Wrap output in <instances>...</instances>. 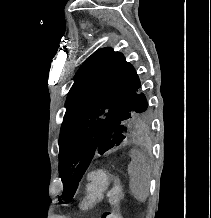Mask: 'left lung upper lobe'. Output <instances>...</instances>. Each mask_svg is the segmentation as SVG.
I'll use <instances>...</instances> for the list:
<instances>
[{
  "mask_svg": "<svg viewBox=\"0 0 211 218\" xmlns=\"http://www.w3.org/2000/svg\"><path fill=\"white\" fill-rule=\"evenodd\" d=\"M59 138L62 200L70 201L96 154L138 136L149 121L144 85L120 52L103 48L74 77Z\"/></svg>",
  "mask_w": 211,
  "mask_h": 218,
  "instance_id": "1",
  "label": "left lung upper lobe"
}]
</instances>
